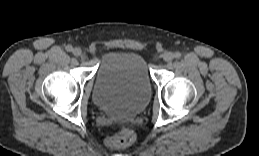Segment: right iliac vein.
<instances>
[{"instance_id":"obj_1","label":"right iliac vein","mask_w":259,"mask_h":156,"mask_svg":"<svg viewBox=\"0 0 259 156\" xmlns=\"http://www.w3.org/2000/svg\"><path fill=\"white\" fill-rule=\"evenodd\" d=\"M72 53H73L74 56L78 57L82 54V50L80 48H74L72 50Z\"/></svg>"}]
</instances>
